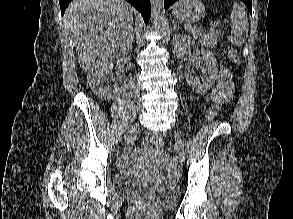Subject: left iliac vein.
Instances as JSON below:
<instances>
[{
  "label": "left iliac vein",
  "mask_w": 293,
  "mask_h": 219,
  "mask_svg": "<svg viewBox=\"0 0 293 219\" xmlns=\"http://www.w3.org/2000/svg\"><path fill=\"white\" fill-rule=\"evenodd\" d=\"M176 148L181 159H184V147L179 132H176Z\"/></svg>",
  "instance_id": "obj_1"
}]
</instances>
